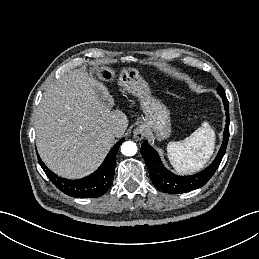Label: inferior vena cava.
I'll use <instances>...</instances> for the list:
<instances>
[{"instance_id":"inferior-vena-cava-1","label":"inferior vena cava","mask_w":259,"mask_h":259,"mask_svg":"<svg viewBox=\"0 0 259 259\" xmlns=\"http://www.w3.org/2000/svg\"><path fill=\"white\" fill-rule=\"evenodd\" d=\"M121 127L119 125H113L111 127V132L114 134V135H119L121 133Z\"/></svg>"}]
</instances>
